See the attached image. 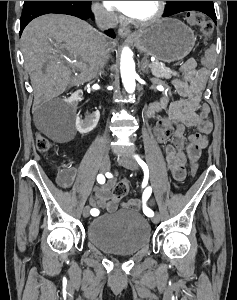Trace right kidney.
Listing matches in <instances>:
<instances>
[{"mask_svg": "<svg viewBox=\"0 0 237 300\" xmlns=\"http://www.w3.org/2000/svg\"><path fill=\"white\" fill-rule=\"evenodd\" d=\"M83 91H75L72 93L71 97L68 99V103H70L72 109H77V105L79 101H82ZM100 119L99 111H94L91 115H85L84 119H80L79 115L76 117V129L81 133V135H85V133H90L95 129L98 121Z\"/></svg>", "mask_w": 237, "mask_h": 300, "instance_id": "1", "label": "right kidney"}]
</instances>
